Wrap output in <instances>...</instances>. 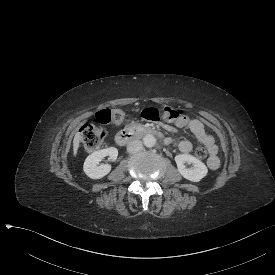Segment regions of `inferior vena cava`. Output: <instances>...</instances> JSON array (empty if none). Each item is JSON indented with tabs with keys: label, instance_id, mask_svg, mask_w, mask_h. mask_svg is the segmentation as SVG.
Instances as JSON below:
<instances>
[{
	"label": "inferior vena cava",
	"instance_id": "obj_1",
	"mask_svg": "<svg viewBox=\"0 0 275 275\" xmlns=\"http://www.w3.org/2000/svg\"><path fill=\"white\" fill-rule=\"evenodd\" d=\"M143 148L142 142L139 140H134L131 141L128 145H127V151L129 153H136L141 151Z\"/></svg>",
	"mask_w": 275,
	"mask_h": 275
}]
</instances>
